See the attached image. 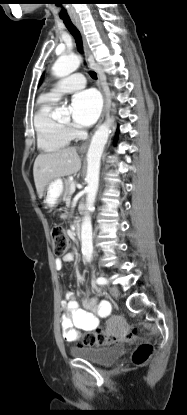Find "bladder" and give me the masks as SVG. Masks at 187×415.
I'll return each instance as SVG.
<instances>
[{"mask_svg":"<svg viewBox=\"0 0 187 415\" xmlns=\"http://www.w3.org/2000/svg\"><path fill=\"white\" fill-rule=\"evenodd\" d=\"M126 351L125 343H117L108 347H72L70 355L85 359L99 366H108L120 359Z\"/></svg>","mask_w":187,"mask_h":415,"instance_id":"1","label":"bladder"}]
</instances>
